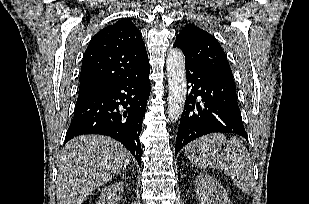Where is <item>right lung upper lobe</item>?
<instances>
[{
	"label": "right lung upper lobe",
	"mask_w": 309,
	"mask_h": 204,
	"mask_svg": "<svg viewBox=\"0 0 309 204\" xmlns=\"http://www.w3.org/2000/svg\"><path fill=\"white\" fill-rule=\"evenodd\" d=\"M149 67L140 31L130 19L122 18L90 41L83 57L78 98L137 76Z\"/></svg>",
	"instance_id": "1"
}]
</instances>
